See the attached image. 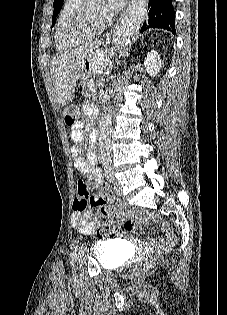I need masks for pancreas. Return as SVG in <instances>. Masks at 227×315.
Instances as JSON below:
<instances>
[{
    "mask_svg": "<svg viewBox=\"0 0 227 315\" xmlns=\"http://www.w3.org/2000/svg\"><path fill=\"white\" fill-rule=\"evenodd\" d=\"M81 83H82V94L85 97L91 96V88L95 89L94 85V78L91 75H84L81 77Z\"/></svg>",
    "mask_w": 227,
    "mask_h": 315,
    "instance_id": "cf45deb5",
    "label": "pancreas"
}]
</instances>
